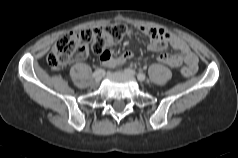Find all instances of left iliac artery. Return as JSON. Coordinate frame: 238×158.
<instances>
[{
  "instance_id": "1",
  "label": "left iliac artery",
  "mask_w": 238,
  "mask_h": 158,
  "mask_svg": "<svg viewBox=\"0 0 238 158\" xmlns=\"http://www.w3.org/2000/svg\"><path fill=\"white\" fill-rule=\"evenodd\" d=\"M137 77H138V79H139L140 81H144L145 78H146V76H145L144 73H138Z\"/></svg>"
}]
</instances>
